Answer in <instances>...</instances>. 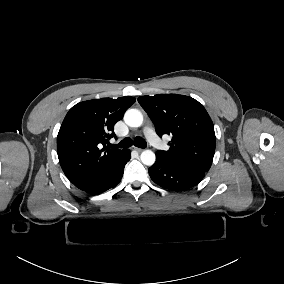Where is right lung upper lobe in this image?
Returning a JSON list of instances; mask_svg holds the SVG:
<instances>
[{"mask_svg": "<svg viewBox=\"0 0 284 284\" xmlns=\"http://www.w3.org/2000/svg\"><path fill=\"white\" fill-rule=\"evenodd\" d=\"M135 98H101L80 102L65 116L57 136V153L66 177L79 189L95 180L126 149H109L113 127Z\"/></svg>", "mask_w": 284, "mask_h": 284, "instance_id": "obj_1", "label": "right lung upper lobe"}]
</instances>
